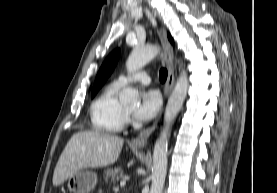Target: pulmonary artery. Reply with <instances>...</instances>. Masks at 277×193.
I'll use <instances>...</instances> for the list:
<instances>
[{"mask_svg":"<svg viewBox=\"0 0 277 193\" xmlns=\"http://www.w3.org/2000/svg\"><path fill=\"white\" fill-rule=\"evenodd\" d=\"M132 82H140L143 84H149L150 83V76L146 71H140L135 74L126 76V75H120L115 81L114 84H116L119 87L125 86Z\"/></svg>","mask_w":277,"mask_h":193,"instance_id":"e3ab8cb5","label":"pulmonary artery"}]
</instances>
